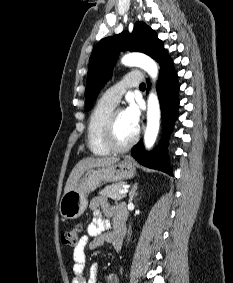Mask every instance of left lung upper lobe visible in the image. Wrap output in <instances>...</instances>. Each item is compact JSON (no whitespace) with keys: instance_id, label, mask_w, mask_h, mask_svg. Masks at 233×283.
Instances as JSON below:
<instances>
[{"instance_id":"1","label":"left lung upper lobe","mask_w":233,"mask_h":283,"mask_svg":"<svg viewBox=\"0 0 233 283\" xmlns=\"http://www.w3.org/2000/svg\"><path fill=\"white\" fill-rule=\"evenodd\" d=\"M121 50L142 52L156 61L166 52L154 30L143 22L135 23L131 34L123 32L102 39L94 48L89 60L86 110L92 108L100 89L111 77L115 61Z\"/></svg>"}]
</instances>
